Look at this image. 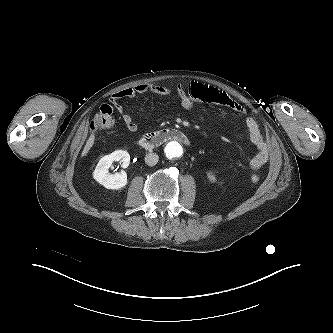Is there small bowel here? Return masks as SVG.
Masks as SVG:
<instances>
[{
  "label": "small bowel",
  "mask_w": 333,
  "mask_h": 333,
  "mask_svg": "<svg viewBox=\"0 0 333 333\" xmlns=\"http://www.w3.org/2000/svg\"><path fill=\"white\" fill-rule=\"evenodd\" d=\"M141 94H153L158 96L173 95L178 99L183 108L187 110L197 109L204 114L213 116L217 120H222L223 117L217 114H212L205 104L221 105L240 114L246 113L244 107L229 97L225 92L201 83L192 82L187 87H184L181 84L165 86L156 83H143L122 89L110 96V101L120 113L126 128L131 132H135L138 129V124L129 114L124 112L119 101L123 99L132 100ZM245 124L249 138L258 150L256 155L249 161V166L253 170H258L263 167L269 159V145L264 139L259 125L253 117H246Z\"/></svg>",
  "instance_id": "c3829d8e"
}]
</instances>
